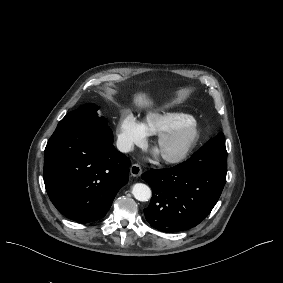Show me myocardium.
<instances>
[{
  "label": "myocardium",
  "mask_w": 283,
  "mask_h": 283,
  "mask_svg": "<svg viewBox=\"0 0 283 283\" xmlns=\"http://www.w3.org/2000/svg\"><path fill=\"white\" fill-rule=\"evenodd\" d=\"M182 133L185 134L183 147L177 155L163 160V163L167 166L178 165L190 156L199 137V126L195 119L184 118L172 128L159 132L157 136V143H162L173 140Z\"/></svg>",
  "instance_id": "f54148a6"
}]
</instances>
